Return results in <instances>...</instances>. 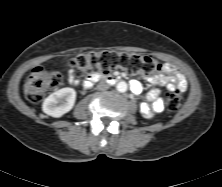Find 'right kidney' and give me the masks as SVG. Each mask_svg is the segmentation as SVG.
<instances>
[{
	"instance_id": "1",
	"label": "right kidney",
	"mask_w": 222,
	"mask_h": 187,
	"mask_svg": "<svg viewBox=\"0 0 222 187\" xmlns=\"http://www.w3.org/2000/svg\"><path fill=\"white\" fill-rule=\"evenodd\" d=\"M75 100L76 91L73 88H62L44 100L42 110L47 115L58 118L73 108Z\"/></svg>"
}]
</instances>
